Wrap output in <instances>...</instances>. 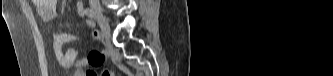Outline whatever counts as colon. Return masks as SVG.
Listing matches in <instances>:
<instances>
[{"label":"colon","instance_id":"5ec220e1","mask_svg":"<svg viewBox=\"0 0 333 76\" xmlns=\"http://www.w3.org/2000/svg\"><path fill=\"white\" fill-rule=\"evenodd\" d=\"M85 75L86 76H97L98 74L96 72L92 71V70H87ZM101 75L102 76H112L113 73L109 70H105L101 73Z\"/></svg>","mask_w":333,"mask_h":76}]
</instances>
